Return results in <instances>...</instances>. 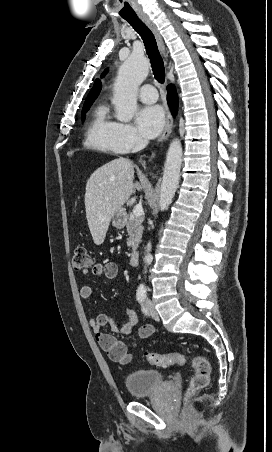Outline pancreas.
I'll return each instance as SVG.
<instances>
[{"label":"pancreas","instance_id":"cf45deb5","mask_svg":"<svg viewBox=\"0 0 272 452\" xmlns=\"http://www.w3.org/2000/svg\"><path fill=\"white\" fill-rule=\"evenodd\" d=\"M128 220L126 221V228L129 235V238L127 240L128 247H131L132 249H137L138 245L141 241L142 233H143V216H135L132 213L126 215Z\"/></svg>","mask_w":272,"mask_h":452}]
</instances>
